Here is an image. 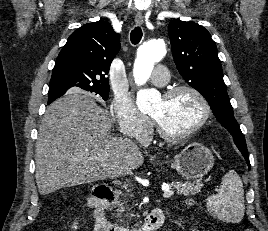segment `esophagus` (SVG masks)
I'll return each instance as SVG.
<instances>
[{
	"instance_id": "1",
	"label": "esophagus",
	"mask_w": 268,
	"mask_h": 231,
	"mask_svg": "<svg viewBox=\"0 0 268 231\" xmlns=\"http://www.w3.org/2000/svg\"><path fill=\"white\" fill-rule=\"evenodd\" d=\"M135 22L137 25H142L144 23V17L142 14H137L135 16Z\"/></svg>"
}]
</instances>
